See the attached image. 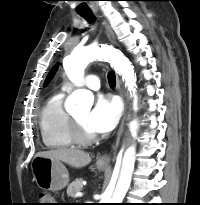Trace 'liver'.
Returning a JSON list of instances; mask_svg holds the SVG:
<instances>
[{
  "mask_svg": "<svg viewBox=\"0 0 200 205\" xmlns=\"http://www.w3.org/2000/svg\"><path fill=\"white\" fill-rule=\"evenodd\" d=\"M36 156L59 160L74 168L85 167L91 162L89 153L72 148H58L55 150L38 152Z\"/></svg>",
  "mask_w": 200,
  "mask_h": 205,
  "instance_id": "obj_1",
  "label": "liver"
}]
</instances>
